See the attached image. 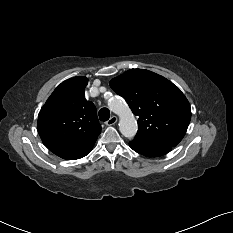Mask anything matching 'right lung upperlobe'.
Returning <instances> with one entry per match:
<instances>
[{"mask_svg": "<svg viewBox=\"0 0 233 233\" xmlns=\"http://www.w3.org/2000/svg\"><path fill=\"white\" fill-rule=\"evenodd\" d=\"M86 77L62 82L38 115V132L46 147L78 148L92 144L101 132L97 111L85 99Z\"/></svg>", "mask_w": 233, "mask_h": 233, "instance_id": "obj_1", "label": "right lung upper lobe"}]
</instances>
